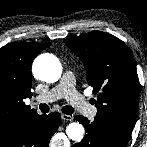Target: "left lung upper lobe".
<instances>
[{
  "label": "left lung upper lobe",
  "instance_id": "1",
  "mask_svg": "<svg viewBox=\"0 0 147 147\" xmlns=\"http://www.w3.org/2000/svg\"><path fill=\"white\" fill-rule=\"evenodd\" d=\"M84 63L97 94L99 120L128 139L136 120L140 84L134 58L123 41L101 31L64 40Z\"/></svg>",
  "mask_w": 147,
  "mask_h": 147
}]
</instances>
